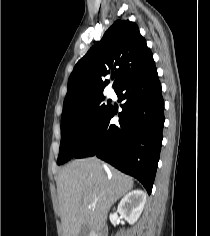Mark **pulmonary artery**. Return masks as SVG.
I'll list each match as a JSON object with an SVG mask.
<instances>
[{"label": "pulmonary artery", "instance_id": "pulmonary-artery-1", "mask_svg": "<svg viewBox=\"0 0 210 236\" xmlns=\"http://www.w3.org/2000/svg\"><path fill=\"white\" fill-rule=\"evenodd\" d=\"M107 95H108L109 97H114L115 93H114V91H113L112 89H108Z\"/></svg>", "mask_w": 210, "mask_h": 236}]
</instances>
